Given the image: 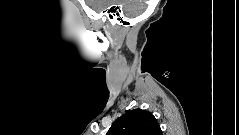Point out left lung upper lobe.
Listing matches in <instances>:
<instances>
[{
    "label": "left lung upper lobe",
    "mask_w": 239,
    "mask_h": 135,
    "mask_svg": "<svg viewBox=\"0 0 239 135\" xmlns=\"http://www.w3.org/2000/svg\"><path fill=\"white\" fill-rule=\"evenodd\" d=\"M162 131L152 113L134 109L119 117L107 135H161Z\"/></svg>",
    "instance_id": "1"
}]
</instances>
